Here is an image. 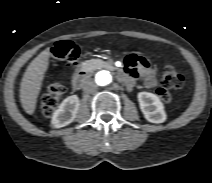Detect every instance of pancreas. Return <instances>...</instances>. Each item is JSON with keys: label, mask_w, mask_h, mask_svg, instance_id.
I'll list each match as a JSON object with an SVG mask.
<instances>
[{"label": "pancreas", "mask_w": 212, "mask_h": 183, "mask_svg": "<svg viewBox=\"0 0 212 183\" xmlns=\"http://www.w3.org/2000/svg\"><path fill=\"white\" fill-rule=\"evenodd\" d=\"M96 64H100L101 66L106 67V68H111L110 62H103V61L95 60V59L86 61L84 63V67L87 69L88 67H91Z\"/></svg>", "instance_id": "obj_1"}]
</instances>
